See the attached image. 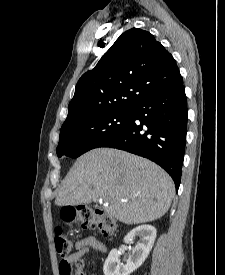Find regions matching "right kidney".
Masks as SVG:
<instances>
[{"mask_svg": "<svg viewBox=\"0 0 225 275\" xmlns=\"http://www.w3.org/2000/svg\"><path fill=\"white\" fill-rule=\"evenodd\" d=\"M136 237H139L141 242L134 247L125 265L120 263V252L117 249L110 251L104 263V275H130L144 263L154 245L156 229L151 225L138 226L128 232L124 240L132 242Z\"/></svg>", "mask_w": 225, "mask_h": 275, "instance_id": "obj_1", "label": "right kidney"}]
</instances>
